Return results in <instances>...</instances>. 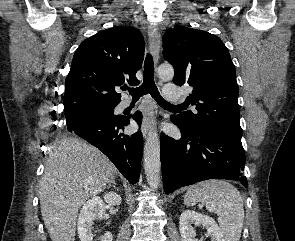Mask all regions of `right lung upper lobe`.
Segmentation results:
<instances>
[{
  "mask_svg": "<svg viewBox=\"0 0 295 241\" xmlns=\"http://www.w3.org/2000/svg\"><path fill=\"white\" fill-rule=\"evenodd\" d=\"M144 58L141 32L131 27H113L84 40L76 50L66 78L64 112L89 107L117 105L121 95L115 86L135 77Z\"/></svg>",
  "mask_w": 295,
  "mask_h": 241,
  "instance_id": "cb5924a9",
  "label": "right lung upper lobe"
}]
</instances>
